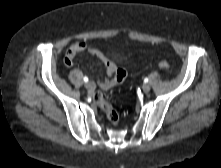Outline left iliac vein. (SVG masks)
Masks as SVG:
<instances>
[{
	"instance_id": "obj_1",
	"label": "left iliac vein",
	"mask_w": 221,
	"mask_h": 168,
	"mask_svg": "<svg viewBox=\"0 0 221 168\" xmlns=\"http://www.w3.org/2000/svg\"><path fill=\"white\" fill-rule=\"evenodd\" d=\"M142 90L144 93H148L151 90V86L149 84H144Z\"/></svg>"
}]
</instances>
